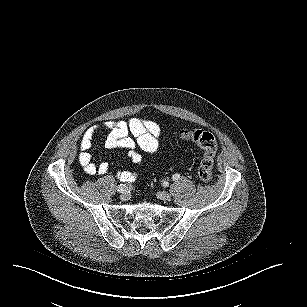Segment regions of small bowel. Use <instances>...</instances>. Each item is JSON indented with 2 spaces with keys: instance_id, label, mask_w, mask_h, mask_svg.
<instances>
[{
  "instance_id": "obj_1",
  "label": "small bowel",
  "mask_w": 307,
  "mask_h": 307,
  "mask_svg": "<svg viewBox=\"0 0 307 307\" xmlns=\"http://www.w3.org/2000/svg\"><path fill=\"white\" fill-rule=\"evenodd\" d=\"M101 130L108 133L105 146L113 150H126L129 158L136 165L141 164L143 160L137 147L147 154H154L159 149L161 129L154 121L133 117L127 121L101 122L86 129L79 143L78 161L88 175H105L109 171V164L93 162L90 152L94 136ZM116 175L124 183L134 182L138 177L136 172L127 170H119Z\"/></svg>"
}]
</instances>
